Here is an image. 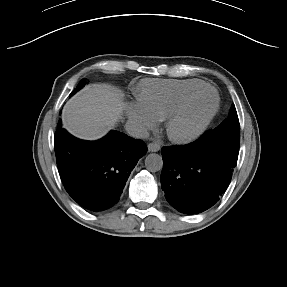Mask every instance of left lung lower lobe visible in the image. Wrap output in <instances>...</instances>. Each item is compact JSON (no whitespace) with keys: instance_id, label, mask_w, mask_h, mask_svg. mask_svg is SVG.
<instances>
[{"instance_id":"obj_1","label":"left lung lower lobe","mask_w":287,"mask_h":287,"mask_svg":"<svg viewBox=\"0 0 287 287\" xmlns=\"http://www.w3.org/2000/svg\"><path fill=\"white\" fill-rule=\"evenodd\" d=\"M161 187L179 212L200 213L227 189L236 166L239 144L206 132L183 146L163 147Z\"/></svg>"}]
</instances>
